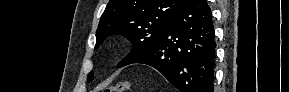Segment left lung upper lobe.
<instances>
[{"label":"left lung upper lobe","mask_w":289,"mask_h":92,"mask_svg":"<svg viewBox=\"0 0 289 92\" xmlns=\"http://www.w3.org/2000/svg\"><path fill=\"white\" fill-rule=\"evenodd\" d=\"M187 0H110L97 31V49L110 35L120 34L133 44V50L118 67L135 61L150 52L165 27ZM93 79V71L87 80Z\"/></svg>","instance_id":"1"}]
</instances>
